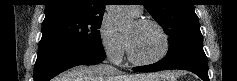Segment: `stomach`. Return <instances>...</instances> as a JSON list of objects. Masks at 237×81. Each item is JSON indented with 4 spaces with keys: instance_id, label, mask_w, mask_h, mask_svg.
Here are the masks:
<instances>
[{
    "instance_id": "stomach-1",
    "label": "stomach",
    "mask_w": 237,
    "mask_h": 81,
    "mask_svg": "<svg viewBox=\"0 0 237 81\" xmlns=\"http://www.w3.org/2000/svg\"><path fill=\"white\" fill-rule=\"evenodd\" d=\"M151 81H174L172 77H159Z\"/></svg>"
}]
</instances>
